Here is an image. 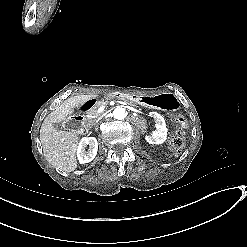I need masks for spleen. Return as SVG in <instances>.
Segmentation results:
<instances>
[{
	"instance_id": "obj_1",
	"label": "spleen",
	"mask_w": 247,
	"mask_h": 247,
	"mask_svg": "<svg viewBox=\"0 0 247 247\" xmlns=\"http://www.w3.org/2000/svg\"><path fill=\"white\" fill-rule=\"evenodd\" d=\"M175 156H177V153H173Z\"/></svg>"
}]
</instances>
